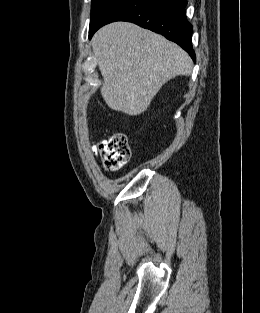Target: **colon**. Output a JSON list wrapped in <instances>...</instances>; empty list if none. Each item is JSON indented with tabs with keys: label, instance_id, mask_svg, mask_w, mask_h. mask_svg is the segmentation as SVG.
<instances>
[{
	"label": "colon",
	"instance_id": "1",
	"mask_svg": "<svg viewBox=\"0 0 260 313\" xmlns=\"http://www.w3.org/2000/svg\"><path fill=\"white\" fill-rule=\"evenodd\" d=\"M101 156L106 171L115 172L130 159V146L124 133H116L101 141L95 148Z\"/></svg>",
	"mask_w": 260,
	"mask_h": 313
}]
</instances>
